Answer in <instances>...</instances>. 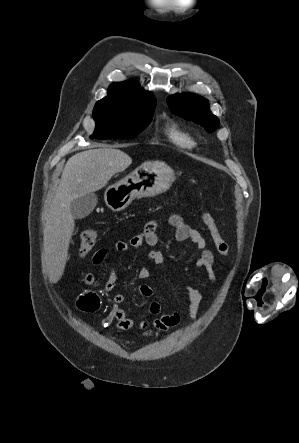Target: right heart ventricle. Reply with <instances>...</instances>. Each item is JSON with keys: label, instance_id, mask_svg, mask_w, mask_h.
I'll use <instances>...</instances> for the list:
<instances>
[{"label": "right heart ventricle", "instance_id": "1", "mask_svg": "<svg viewBox=\"0 0 299 443\" xmlns=\"http://www.w3.org/2000/svg\"><path fill=\"white\" fill-rule=\"evenodd\" d=\"M164 135L170 143L180 149L191 150L196 146L193 135L175 123L166 124Z\"/></svg>", "mask_w": 299, "mask_h": 443}]
</instances>
